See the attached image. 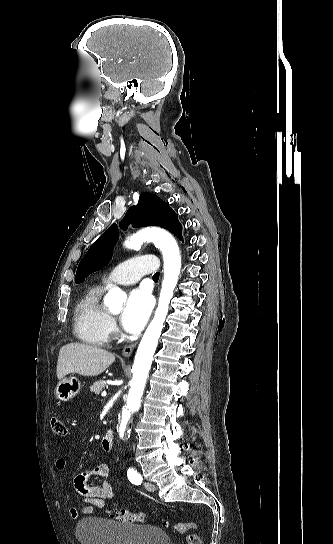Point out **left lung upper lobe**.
Masks as SVG:
<instances>
[{
  "label": "left lung upper lobe",
  "mask_w": 333,
  "mask_h": 544,
  "mask_svg": "<svg viewBox=\"0 0 333 544\" xmlns=\"http://www.w3.org/2000/svg\"><path fill=\"white\" fill-rule=\"evenodd\" d=\"M178 215L169 207L167 202L150 193H142L138 205L131 207L120 227L125 229L129 223L133 227L157 225L168 229L181 240V225ZM119 237L116 224L106 230L90 247L78 265L76 272V283H81L90 273L105 267L111 259L112 248Z\"/></svg>",
  "instance_id": "left-lung-upper-lobe-1"
}]
</instances>
